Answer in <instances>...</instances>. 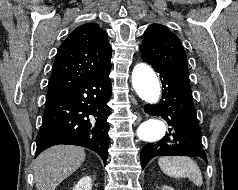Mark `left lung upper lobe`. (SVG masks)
Instances as JSON below:
<instances>
[{"label": "left lung upper lobe", "instance_id": "obj_1", "mask_svg": "<svg viewBox=\"0 0 238 190\" xmlns=\"http://www.w3.org/2000/svg\"><path fill=\"white\" fill-rule=\"evenodd\" d=\"M141 58L148 61L188 70L187 57L179 38L166 26H149L140 46Z\"/></svg>", "mask_w": 238, "mask_h": 190}]
</instances>
